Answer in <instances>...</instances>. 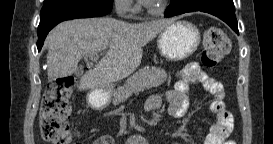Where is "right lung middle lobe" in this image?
I'll list each match as a JSON object with an SVG mask.
<instances>
[{
	"mask_svg": "<svg viewBox=\"0 0 273 144\" xmlns=\"http://www.w3.org/2000/svg\"><path fill=\"white\" fill-rule=\"evenodd\" d=\"M50 0H44V3L49 2Z\"/></svg>",
	"mask_w": 273,
	"mask_h": 144,
	"instance_id": "right-lung-middle-lobe-1",
	"label": "right lung middle lobe"
}]
</instances>
